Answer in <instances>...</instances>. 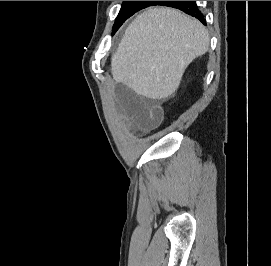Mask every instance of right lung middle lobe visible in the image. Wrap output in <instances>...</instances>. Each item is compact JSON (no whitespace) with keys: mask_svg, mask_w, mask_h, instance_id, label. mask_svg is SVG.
Listing matches in <instances>:
<instances>
[{"mask_svg":"<svg viewBox=\"0 0 271 266\" xmlns=\"http://www.w3.org/2000/svg\"><path fill=\"white\" fill-rule=\"evenodd\" d=\"M158 2L159 1H124L119 11V14L115 20V24L113 25L112 35L134 13L143 8L156 5Z\"/></svg>","mask_w":271,"mask_h":266,"instance_id":"1","label":"right lung middle lobe"}]
</instances>
